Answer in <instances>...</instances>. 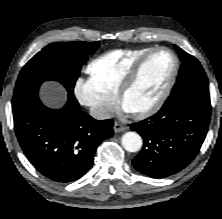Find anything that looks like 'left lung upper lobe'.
Listing matches in <instances>:
<instances>
[{"label":"left lung upper lobe","mask_w":222,"mask_h":219,"mask_svg":"<svg viewBox=\"0 0 222 219\" xmlns=\"http://www.w3.org/2000/svg\"><path fill=\"white\" fill-rule=\"evenodd\" d=\"M174 47L182 64L170 97L179 94H193L204 100H210L207 76L199 61L178 46L174 45Z\"/></svg>","instance_id":"5c2ea615"}]
</instances>
